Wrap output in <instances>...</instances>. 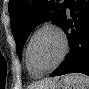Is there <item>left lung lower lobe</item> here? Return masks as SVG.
<instances>
[{"instance_id":"1","label":"left lung lower lobe","mask_w":89,"mask_h":89,"mask_svg":"<svg viewBox=\"0 0 89 89\" xmlns=\"http://www.w3.org/2000/svg\"><path fill=\"white\" fill-rule=\"evenodd\" d=\"M68 7L72 19L66 17L62 29L68 36L70 53L50 76L74 72L89 75V0H69Z\"/></svg>"}]
</instances>
